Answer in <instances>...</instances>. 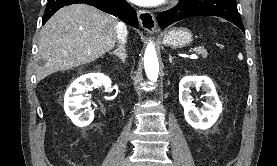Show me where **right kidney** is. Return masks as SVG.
Segmentation results:
<instances>
[{"instance_id": "1", "label": "right kidney", "mask_w": 277, "mask_h": 166, "mask_svg": "<svg viewBox=\"0 0 277 166\" xmlns=\"http://www.w3.org/2000/svg\"><path fill=\"white\" fill-rule=\"evenodd\" d=\"M101 85L108 90L111 87V80L103 74L92 73L77 78L67 89L64 96V110L76 126L85 127L92 122L94 112L88 111L83 114L80 109L89 106L85 103V92Z\"/></svg>"}]
</instances>
